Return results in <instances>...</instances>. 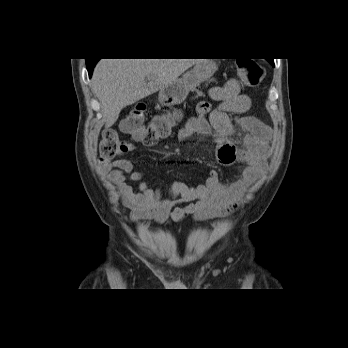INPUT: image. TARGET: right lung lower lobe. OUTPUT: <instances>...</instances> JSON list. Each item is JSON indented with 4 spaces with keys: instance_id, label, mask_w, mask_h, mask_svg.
I'll return each instance as SVG.
<instances>
[{
    "instance_id": "98d812e1",
    "label": "right lung lower lobe",
    "mask_w": 348,
    "mask_h": 348,
    "mask_svg": "<svg viewBox=\"0 0 348 348\" xmlns=\"http://www.w3.org/2000/svg\"><path fill=\"white\" fill-rule=\"evenodd\" d=\"M97 61H98V59H95V60H88V59H86V66H87V70H88V73H89L90 77L92 75L93 68H94L95 64L97 63Z\"/></svg>"
}]
</instances>
